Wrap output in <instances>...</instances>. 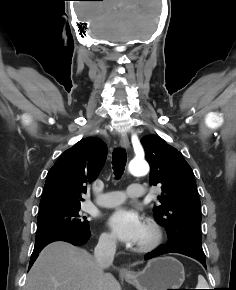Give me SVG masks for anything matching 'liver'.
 Returning <instances> with one entry per match:
<instances>
[{"instance_id": "liver-1", "label": "liver", "mask_w": 236, "mask_h": 290, "mask_svg": "<svg viewBox=\"0 0 236 290\" xmlns=\"http://www.w3.org/2000/svg\"><path fill=\"white\" fill-rule=\"evenodd\" d=\"M23 290H121V287L85 249L56 241L40 252Z\"/></svg>"}]
</instances>
